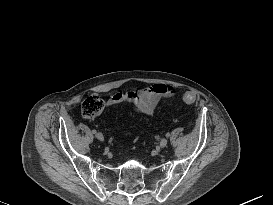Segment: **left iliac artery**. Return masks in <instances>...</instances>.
<instances>
[{
	"mask_svg": "<svg viewBox=\"0 0 273 205\" xmlns=\"http://www.w3.org/2000/svg\"><path fill=\"white\" fill-rule=\"evenodd\" d=\"M169 136H170V133H167V134H166V137H169Z\"/></svg>",
	"mask_w": 273,
	"mask_h": 205,
	"instance_id": "left-iliac-artery-1",
	"label": "left iliac artery"
}]
</instances>
